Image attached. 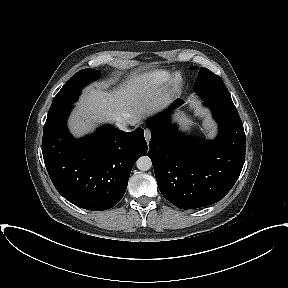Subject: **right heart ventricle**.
<instances>
[{
    "mask_svg": "<svg viewBox=\"0 0 288 288\" xmlns=\"http://www.w3.org/2000/svg\"><path fill=\"white\" fill-rule=\"evenodd\" d=\"M169 76H170V73L168 71L158 70L154 72V74L152 75V79L157 84H162L168 80Z\"/></svg>",
    "mask_w": 288,
    "mask_h": 288,
    "instance_id": "1",
    "label": "right heart ventricle"
}]
</instances>
